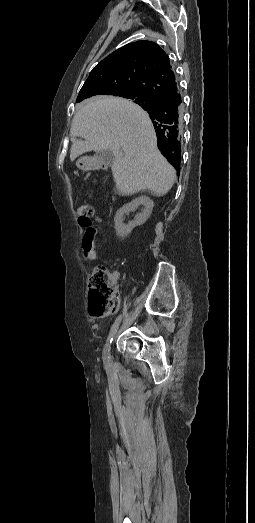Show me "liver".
I'll list each match as a JSON object with an SVG mask.
<instances>
[{
  "label": "liver",
  "instance_id": "6515ba94",
  "mask_svg": "<svg viewBox=\"0 0 255 523\" xmlns=\"http://www.w3.org/2000/svg\"><path fill=\"white\" fill-rule=\"evenodd\" d=\"M70 136L71 162L92 150L112 152L111 170L123 196L140 190L165 196L171 190L175 170L159 152L152 122L137 104L113 96L90 98L75 114Z\"/></svg>",
  "mask_w": 255,
  "mask_h": 523
}]
</instances>
